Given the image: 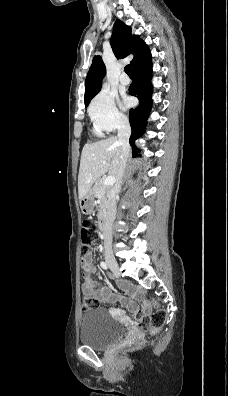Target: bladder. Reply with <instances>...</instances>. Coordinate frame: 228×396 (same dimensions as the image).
Listing matches in <instances>:
<instances>
[{"label": "bladder", "instance_id": "obj_1", "mask_svg": "<svg viewBox=\"0 0 228 396\" xmlns=\"http://www.w3.org/2000/svg\"><path fill=\"white\" fill-rule=\"evenodd\" d=\"M127 331V327L113 320L105 309H93L82 315L80 341L94 349H105L120 341Z\"/></svg>", "mask_w": 228, "mask_h": 396}]
</instances>
